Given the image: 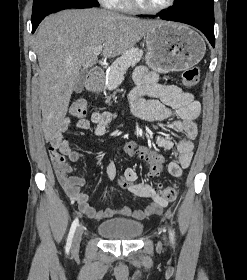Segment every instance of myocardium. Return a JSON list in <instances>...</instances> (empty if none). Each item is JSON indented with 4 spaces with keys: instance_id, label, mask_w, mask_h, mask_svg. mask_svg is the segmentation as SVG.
<instances>
[{
    "instance_id": "1",
    "label": "myocardium",
    "mask_w": 247,
    "mask_h": 280,
    "mask_svg": "<svg viewBox=\"0 0 247 280\" xmlns=\"http://www.w3.org/2000/svg\"><path fill=\"white\" fill-rule=\"evenodd\" d=\"M175 2H176V0H167V2L161 6L146 7V6L142 5L139 2V0H128V3L130 4V6L133 9L138 10L143 13H148V14H157V13L164 12V11L170 9L175 4Z\"/></svg>"
}]
</instances>
